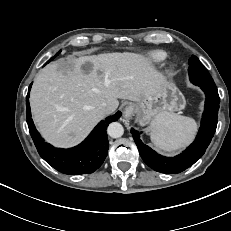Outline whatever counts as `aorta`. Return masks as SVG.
I'll return each mask as SVG.
<instances>
[{"label": "aorta", "mask_w": 231, "mask_h": 231, "mask_svg": "<svg viewBox=\"0 0 231 231\" xmlns=\"http://www.w3.org/2000/svg\"><path fill=\"white\" fill-rule=\"evenodd\" d=\"M107 133L112 138H119L124 133L123 126L118 122H112L107 128Z\"/></svg>", "instance_id": "762f6f07"}]
</instances>
